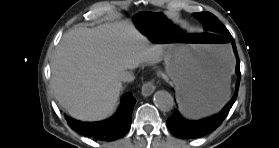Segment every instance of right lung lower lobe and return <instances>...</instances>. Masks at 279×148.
I'll return each mask as SVG.
<instances>
[{"mask_svg": "<svg viewBox=\"0 0 279 148\" xmlns=\"http://www.w3.org/2000/svg\"><path fill=\"white\" fill-rule=\"evenodd\" d=\"M132 93L122 97L118 112L101 122H82L66 116L68 125L76 132L100 141H112L122 137L131 126V114L135 105Z\"/></svg>", "mask_w": 279, "mask_h": 148, "instance_id": "1", "label": "right lung lower lobe"}]
</instances>
